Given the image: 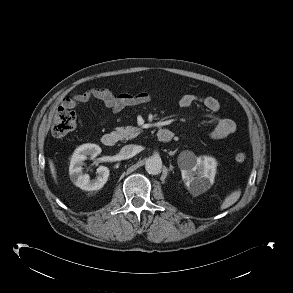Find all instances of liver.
Segmentation results:
<instances>
[{
  "label": "liver",
  "mask_w": 293,
  "mask_h": 293,
  "mask_svg": "<svg viewBox=\"0 0 293 293\" xmlns=\"http://www.w3.org/2000/svg\"><path fill=\"white\" fill-rule=\"evenodd\" d=\"M49 167H50L51 175H52L54 181L57 183L56 169H55L54 163L51 159H49Z\"/></svg>",
  "instance_id": "liver-1"
}]
</instances>
